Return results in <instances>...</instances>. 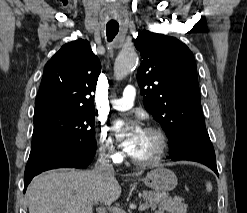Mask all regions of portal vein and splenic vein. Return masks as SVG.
I'll list each match as a JSON object with an SVG mask.
<instances>
[{"instance_id":"1","label":"portal vein and splenic vein","mask_w":247,"mask_h":213,"mask_svg":"<svg viewBox=\"0 0 247 213\" xmlns=\"http://www.w3.org/2000/svg\"><path fill=\"white\" fill-rule=\"evenodd\" d=\"M149 208V204L147 203H143L139 206V210L142 211V210H145ZM107 209L113 213H125V211L121 208H116V207H107Z\"/></svg>"}]
</instances>
